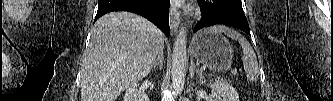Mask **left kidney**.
<instances>
[{"label": "left kidney", "instance_id": "5707ae66", "mask_svg": "<svg viewBox=\"0 0 333 101\" xmlns=\"http://www.w3.org/2000/svg\"><path fill=\"white\" fill-rule=\"evenodd\" d=\"M213 101H239V95L234 87L223 79L210 83Z\"/></svg>", "mask_w": 333, "mask_h": 101}]
</instances>
